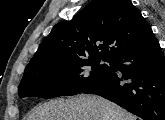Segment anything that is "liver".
<instances>
[{
  "instance_id": "obj_1",
  "label": "liver",
  "mask_w": 165,
  "mask_h": 120,
  "mask_svg": "<svg viewBox=\"0 0 165 120\" xmlns=\"http://www.w3.org/2000/svg\"><path fill=\"white\" fill-rule=\"evenodd\" d=\"M27 120H136V117L100 96L80 95L39 105Z\"/></svg>"
}]
</instances>
